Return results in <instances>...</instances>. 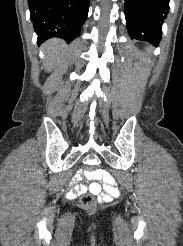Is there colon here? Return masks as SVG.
<instances>
[{
    "mask_svg": "<svg viewBox=\"0 0 183 246\" xmlns=\"http://www.w3.org/2000/svg\"><path fill=\"white\" fill-rule=\"evenodd\" d=\"M91 170H95L91 164H88L87 167L84 168L85 172H91ZM82 206L87 210H93L96 207V199L91 194H85L81 198Z\"/></svg>",
    "mask_w": 183,
    "mask_h": 246,
    "instance_id": "obj_1",
    "label": "colon"
}]
</instances>
